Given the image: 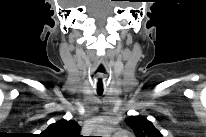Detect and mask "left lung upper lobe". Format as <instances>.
<instances>
[{
	"label": "left lung upper lobe",
	"mask_w": 206,
	"mask_h": 137,
	"mask_svg": "<svg viewBox=\"0 0 206 137\" xmlns=\"http://www.w3.org/2000/svg\"><path fill=\"white\" fill-rule=\"evenodd\" d=\"M125 122L134 131L136 137H162L160 131L146 118L130 116L125 119Z\"/></svg>",
	"instance_id": "5c2ea615"
}]
</instances>
